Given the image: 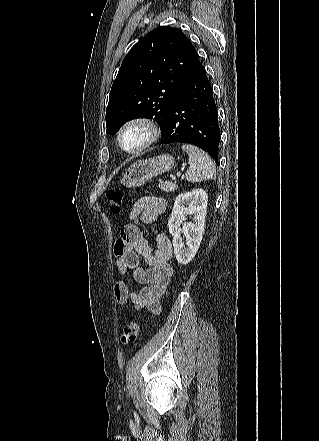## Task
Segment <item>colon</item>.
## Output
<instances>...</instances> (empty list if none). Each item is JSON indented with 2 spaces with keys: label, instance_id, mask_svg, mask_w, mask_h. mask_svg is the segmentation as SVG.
I'll list each match as a JSON object with an SVG mask.
<instances>
[{
  "label": "colon",
  "instance_id": "colon-1",
  "mask_svg": "<svg viewBox=\"0 0 319 441\" xmlns=\"http://www.w3.org/2000/svg\"><path fill=\"white\" fill-rule=\"evenodd\" d=\"M107 201L110 211L113 215H118L122 212L124 194L121 190H110L107 193ZM139 335V324L136 321H131L124 326L121 333V341L125 345H129L136 341Z\"/></svg>",
  "mask_w": 319,
  "mask_h": 441
}]
</instances>
